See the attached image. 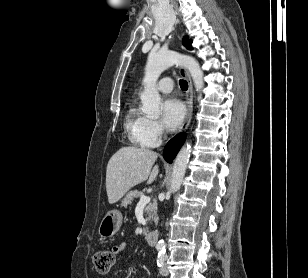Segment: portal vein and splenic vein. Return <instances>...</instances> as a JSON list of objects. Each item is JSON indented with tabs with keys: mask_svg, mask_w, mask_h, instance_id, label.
Here are the masks:
<instances>
[{
	"mask_svg": "<svg viewBox=\"0 0 308 278\" xmlns=\"http://www.w3.org/2000/svg\"><path fill=\"white\" fill-rule=\"evenodd\" d=\"M150 202V197L148 196H145V195H142L141 198H140V201L138 202V206L139 205H146Z\"/></svg>",
	"mask_w": 308,
	"mask_h": 278,
	"instance_id": "portal-vein-and-splenic-vein-1",
	"label": "portal vein and splenic vein"
}]
</instances>
